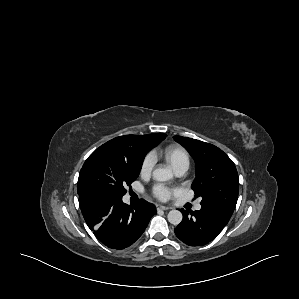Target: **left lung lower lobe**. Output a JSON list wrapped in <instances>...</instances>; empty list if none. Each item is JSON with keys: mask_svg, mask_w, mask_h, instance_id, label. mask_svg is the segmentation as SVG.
<instances>
[{"mask_svg": "<svg viewBox=\"0 0 299 299\" xmlns=\"http://www.w3.org/2000/svg\"><path fill=\"white\" fill-rule=\"evenodd\" d=\"M183 213L182 222L176 227V236L190 246H204L212 241L226 226L229 219L216 211L201 207L198 211Z\"/></svg>", "mask_w": 299, "mask_h": 299, "instance_id": "obj_1", "label": "left lung lower lobe"}]
</instances>
